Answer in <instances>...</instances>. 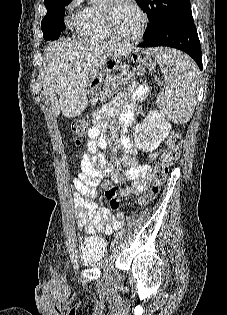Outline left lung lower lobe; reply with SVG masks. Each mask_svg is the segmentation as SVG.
Wrapping results in <instances>:
<instances>
[{
  "instance_id": "left-lung-lower-lobe-1",
  "label": "left lung lower lobe",
  "mask_w": 227,
  "mask_h": 315,
  "mask_svg": "<svg viewBox=\"0 0 227 315\" xmlns=\"http://www.w3.org/2000/svg\"><path fill=\"white\" fill-rule=\"evenodd\" d=\"M168 46L189 54L202 70L201 46L192 13L171 18L146 35L138 47Z\"/></svg>"
}]
</instances>
